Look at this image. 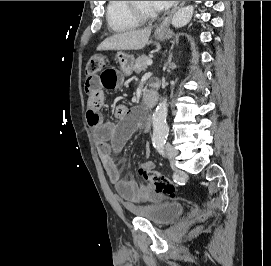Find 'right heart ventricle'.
I'll list each match as a JSON object with an SVG mask.
<instances>
[{
    "label": "right heart ventricle",
    "instance_id": "1",
    "mask_svg": "<svg viewBox=\"0 0 271 266\" xmlns=\"http://www.w3.org/2000/svg\"><path fill=\"white\" fill-rule=\"evenodd\" d=\"M106 20L113 31L120 33L132 31L140 25L129 13L126 1H108Z\"/></svg>",
    "mask_w": 271,
    "mask_h": 266
}]
</instances>
